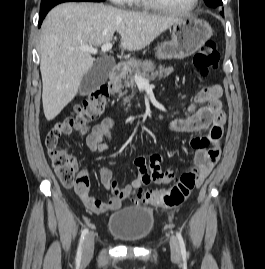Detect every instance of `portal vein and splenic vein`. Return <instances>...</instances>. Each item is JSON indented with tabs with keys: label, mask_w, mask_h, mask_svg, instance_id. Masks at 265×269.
<instances>
[{
	"label": "portal vein and splenic vein",
	"mask_w": 265,
	"mask_h": 269,
	"mask_svg": "<svg viewBox=\"0 0 265 269\" xmlns=\"http://www.w3.org/2000/svg\"><path fill=\"white\" fill-rule=\"evenodd\" d=\"M112 48V43L108 42L105 43L101 46V50L102 52H108L109 50H111ZM79 49L83 52H88L90 54H97L98 50L92 46H86V45H82L79 47ZM135 82L138 84H148L149 80L143 78L141 75H135L134 76Z\"/></svg>",
	"instance_id": "18ae733b"
}]
</instances>
